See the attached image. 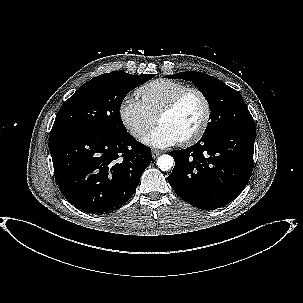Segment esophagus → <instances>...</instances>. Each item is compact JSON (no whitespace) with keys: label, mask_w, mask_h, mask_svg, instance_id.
Instances as JSON below:
<instances>
[{"label":"esophagus","mask_w":303,"mask_h":303,"mask_svg":"<svg viewBox=\"0 0 303 303\" xmlns=\"http://www.w3.org/2000/svg\"><path fill=\"white\" fill-rule=\"evenodd\" d=\"M161 154V151L152 150V158L155 159Z\"/></svg>","instance_id":"esophagus-1"}]
</instances>
